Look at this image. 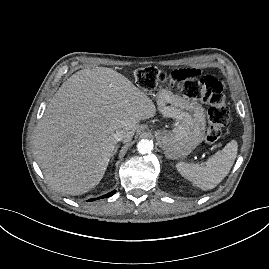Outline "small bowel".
Segmentation results:
<instances>
[{
	"instance_id": "1",
	"label": "small bowel",
	"mask_w": 269,
	"mask_h": 269,
	"mask_svg": "<svg viewBox=\"0 0 269 269\" xmlns=\"http://www.w3.org/2000/svg\"><path fill=\"white\" fill-rule=\"evenodd\" d=\"M205 72L204 71H195L193 68H184V69H180V70H176V71H173L169 74V81L171 83H179V82H183V81H186V80H193V79H197V78H204L205 77Z\"/></svg>"
}]
</instances>
